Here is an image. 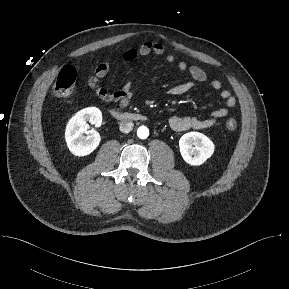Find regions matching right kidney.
<instances>
[{"instance_id":"right-kidney-1","label":"right kidney","mask_w":289,"mask_h":289,"mask_svg":"<svg viewBox=\"0 0 289 289\" xmlns=\"http://www.w3.org/2000/svg\"><path fill=\"white\" fill-rule=\"evenodd\" d=\"M89 121L96 127L102 123V113L96 107L84 108L77 112L68 122L65 130V140L70 152L75 156H86L92 153L101 141L100 134L87 130ZM86 134V135H85Z\"/></svg>"}]
</instances>
